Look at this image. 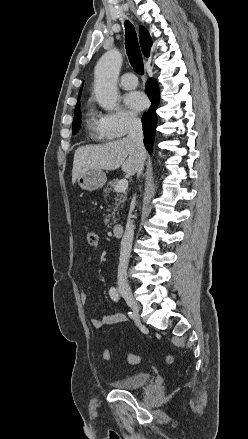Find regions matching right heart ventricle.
<instances>
[{"instance_id": "obj_1", "label": "right heart ventricle", "mask_w": 248, "mask_h": 439, "mask_svg": "<svg viewBox=\"0 0 248 439\" xmlns=\"http://www.w3.org/2000/svg\"><path fill=\"white\" fill-rule=\"evenodd\" d=\"M86 125L92 135L98 136L103 139H109L102 135L99 128L98 118L91 108H88L86 112Z\"/></svg>"}]
</instances>
